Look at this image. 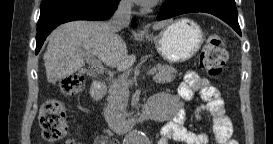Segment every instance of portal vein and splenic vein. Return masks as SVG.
Returning a JSON list of instances; mask_svg holds the SVG:
<instances>
[{
    "instance_id": "1",
    "label": "portal vein and splenic vein",
    "mask_w": 273,
    "mask_h": 144,
    "mask_svg": "<svg viewBox=\"0 0 273 144\" xmlns=\"http://www.w3.org/2000/svg\"><path fill=\"white\" fill-rule=\"evenodd\" d=\"M85 58L91 63V65L97 70L102 72V65L101 62L99 60H97L93 55H91L90 53H84ZM156 73V69L152 68L150 69L147 74L148 75H154ZM117 80L113 81V84H117ZM121 86L123 88L127 87V82L126 81H122Z\"/></svg>"
}]
</instances>
